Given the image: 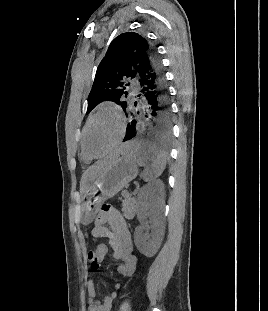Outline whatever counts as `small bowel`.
<instances>
[{
    "label": "small bowel",
    "mask_w": 268,
    "mask_h": 311,
    "mask_svg": "<svg viewBox=\"0 0 268 311\" xmlns=\"http://www.w3.org/2000/svg\"><path fill=\"white\" fill-rule=\"evenodd\" d=\"M95 238L105 239L112 249L113 258L119 262L117 272L124 279L133 275L136 269V257L133 253V244L127 223L120 212L104 205L98 214L95 226L91 232ZM88 293L87 311H110L116 293L108 294L103 301L96 297L94 281L89 278L86 284ZM118 288L119 285L117 284Z\"/></svg>",
    "instance_id": "small-bowel-1"
}]
</instances>
